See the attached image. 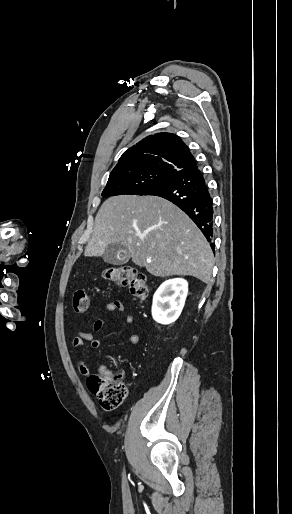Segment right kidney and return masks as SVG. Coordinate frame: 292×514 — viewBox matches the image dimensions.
<instances>
[{
    "instance_id": "ca27d5eb",
    "label": "right kidney",
    "mask_w": 292,
    "mask_h": 514,
    "mask_svg": "<svg viewBox=\"0 0 292 514\" xmlns=\"http://www.w3.org/2000/svg\"><path fill=\"white\" fill-rule=\"evenodd\" d=\"M188 282L183 278L166 280L153 296L152 316L158 324H172L179 318L186 296Z\"/></svg>"
}]
</instances>
